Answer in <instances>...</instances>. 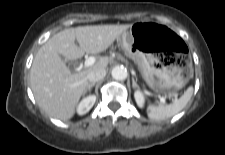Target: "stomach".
<instances>
[{
  "label": "stomach",
  "mask_w": 225,
  "mask_h": 155,
  "mask_svg": "<svg viewBox=\"0 0 225 155\" xmlns=\"http://www.w3.org/2000/svg\"><path fill=\"white\" fill-rule=\"evenodd\" d=\"M127 56L135 60L148 86L155 91L181 89L188 82L189 65L179 37L168 27L138 22L121 36Z\"/></svg>",
  "instance_id": "stomach-1"
}]
</instances>
